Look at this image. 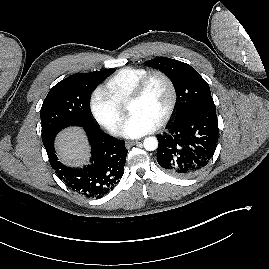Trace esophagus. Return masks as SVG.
<instances>
[{
    "label": "esophagus",
    "instance_id": "obj_1",
    "mask_svg": "<svg viewBox=\"0 0 269 269\" xmlns=\"http://www.w3.org/2000/svg\"><path fill=\"white\" fill-rule=\"evenodd\" d=\"M139 141H128L126 142L125 146L126 148H131L132 146L136 145Z\"/></svg>",
    "mask_w": 269,
    "mask_h": 269
}]
</instances>
